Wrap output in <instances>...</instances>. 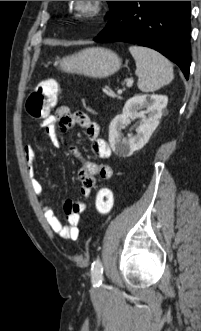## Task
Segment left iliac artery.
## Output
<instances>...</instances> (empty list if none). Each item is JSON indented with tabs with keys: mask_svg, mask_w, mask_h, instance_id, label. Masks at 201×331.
Here are the masks:
<instances>
[{
	"mask_svg": "<svg viewBox=\"0 0 201 331\" xmlns=\"http://www.w3.org/2000/svg\"><path fill=\"white\" fill-rule=\"evenodd\" d=\"M91 275L93 286L99 287L103 281V266L99 258L92 264Z\"/></svg>",
	"mask_w": 201,
	"mask_h": 331,
	"instance_id": "left-iliac-artery-1",
	"label": "left iliac artery"
}]
</instances>
